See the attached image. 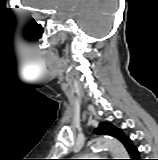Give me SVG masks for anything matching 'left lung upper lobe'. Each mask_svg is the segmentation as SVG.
<instances>
[{
	"label": "left lung upper lobe",
	"mask_w": 158,
	"mask_h": 160,
	"mask_svg": "<svg viewBox=\"0 0 158 160\" xmlns=\"http://www.w3.org/2000/svg\"><path fill=\"white\" fill-rule=\"evenodd\" d=\"M96 134L109 135L117 138L121 142L126 138L123 132L109 122H103L95 130Z\"/></svg>",
	"instance_id": "5c2ea615"
}]
</instances>
